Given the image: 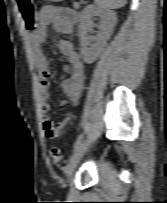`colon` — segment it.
<instances>
[{"mask_svg": "<svg viewBox=\"0 0 167 203\" xmlns=\"http://www.w3.org/2000/svg\"><path fill=\"white\" fill-rule=\"evenodd\" d=\"M34 0H17L18 10L25 27L29 30L35 28V4ZM50 155L55 163L62 161V153L59 147L54 146L50 150Z\"/></svg>", "mask_w": 167, "mask_h": 203, "instance_id": "5ec220e1", "label": "colon"}]
</instances>
